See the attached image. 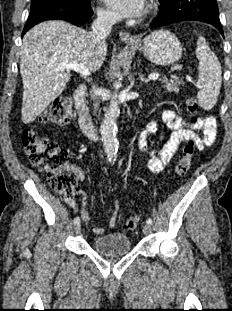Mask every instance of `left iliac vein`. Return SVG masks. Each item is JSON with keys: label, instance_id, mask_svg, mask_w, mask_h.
<instances>
[{"label": "left iliac vein", "instance_id": "left-iliac-vein-1", "mask_svg": "<svg viewBox=\"0 0 232 311\" xmlns=\"http://www.w3.org/2000/svg\"><path fill=\"white\" fill-rule=\"evenodd\" d=\"M143 232L144 234H149L151 232V226L149 224H146L144 227H143Z\"/></svg>", "mask_w": 232, "mask_h": 311}]
</instances>
